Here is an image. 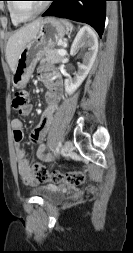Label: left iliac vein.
Instances as JSON below:
<instances>
[{"mask_svg":"<svg viewBox=\"0 0 133 253\" xmlns=\"http://www.w3.org/2000/svg\"><path fill=\"white\" fill-rule=\"evenodd\" d=\"M73 148V144L70 140H67L65 143H64V146H63V150L65 153H68L72 150Z\"/></svg>","mask_w":133,"mask_h":253,"instance_id":"obj_1","label":"left iliac vein"}]
</instances>
